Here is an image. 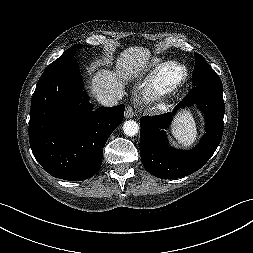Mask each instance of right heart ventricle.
Here are the masks:
<instances>
[{
	"label": "right heart ventricle",
	"mask_w": 253,
	"mask_h": 253,
	"mask_svg": "<svg viewBox=\"0 0 253 253\" xmlns=\"http://www.w3.org/2000/svg\"><path fill=\"white\" fill-rule=\"evenodd\" d=\"M161 65H162V60L161 59H154V60H152V62L149 65V70L154 71Z\"/></svg>",
	"instance_id": "1"
}]
</instances>
